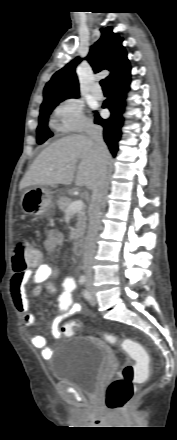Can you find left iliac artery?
I'll return each mask as SVG.
<instances>
[{
	"label": "left iliac artery",
	"mask_w": 177,
	"mask_h": 440,
	"mask_svg": "<svg viewBox=\"0 0 177 440\" xmlns=\"http://www.w3.org/2000/svg\"><path fill=\"white\" fill-rule=\"evenodd\" d=\"M83 296H84L86 299H89V293H88L87 291H84Z\"/></svg>",
	"instance_id": "left-iliac-artery-1"
}]
</instances>
